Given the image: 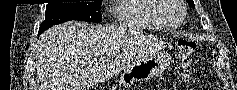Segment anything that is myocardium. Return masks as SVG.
Instances as JSON below:
<instances>
[{
  "mask_svg": "<svg viewBox=\"0 0 237 90\" xmlns=\"http://www.w3.org/2000/svg\"><path fill=\"white\" fill-rule=\"evenodd\" d=\"M158 1H160V3H166V4L167 2H178V8H168V11H161L160 14H157V20L163 25L164 28L168 30L180 29L186 20V10L182 0H158ZM179 5H184V8L180 9ZM176 15H179V20L177 21V23L169 24L167 21H171L172 18H176Z\"/></svg>",
  "mask_w": 237,
  "mask_h": 90,
  "instance_id": "obj_1",
  "label": "myocardium"
}]
</instances>
